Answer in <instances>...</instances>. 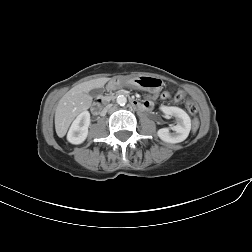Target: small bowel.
Instances as JSON below:
<instances>
[{"instance_id": "obj_1", "label": "small bowel", "mask_w": 252, "mask_h": 252, "mask_svg": "<svg viewBox=\"0 0 252 252\" xmlns=\"http://www.w3.org/2000/svg\"><path fill=\"white\" fill-rule=\"evenodd\" d=\"M182 94H183V96H185L184 93H182ZM143 105H144V108H143L144 110H149L152 108L153 102H152V100H146L143 102Z\"/></svg>"}]
</instances>
